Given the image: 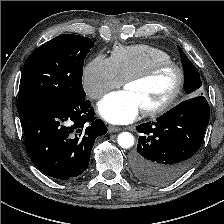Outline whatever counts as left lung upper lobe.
Listing matches in <instances>:
<instances>
[{
    "label": "left lung upper lobe",
    "instance_id": "obj_1",
    "mask_svg": "<svg viewBox=\"0 0 224 224\" xmlns=\"http://www.w3.org/2000/svg\"><path fill=\"white\" fill-rule=\"evenodd\" d=\"M181 54V61L184 69V90L189 97H195L201 94L202 82L200 79V74L195 68L193 63L186 57L182 52V49L178 46Z\"/></svg>",
    "mask_w": 224,
    "mask_h": 224
}]
</instances>
